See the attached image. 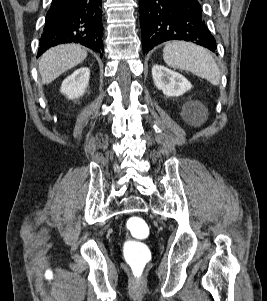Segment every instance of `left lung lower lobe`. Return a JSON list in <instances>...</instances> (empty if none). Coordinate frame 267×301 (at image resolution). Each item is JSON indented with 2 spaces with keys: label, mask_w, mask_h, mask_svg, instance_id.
<instances>
[{
  "label": "left lung lower lobe",
  "mask_w": 267,
  "mask_h": 301,
  "mask_svg": "<svg viewBox=\"0 0 267 301\" xmlns=\"http://www.w3.org/2000/svg\"><path fill=\"white\" fill-rule=\"evenodd\" d=\"M144 53L168 40H186L216 52L198 0H140Z\"/></svg>",
  "instance_id": "1"
}]
</instances>
